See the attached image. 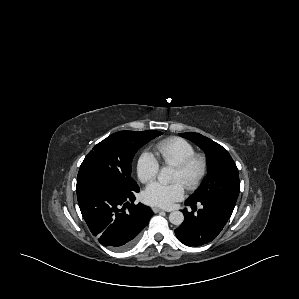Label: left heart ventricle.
<instances>
[{"label": "left heart ventricle", "instance_id": "1", "mask_svg": "<svg viewBox=\"0 0 299 299\" xmlns=\"http://www.w3.org/2000/svg\"><path fill=\"white\" fill-rule=\"evenodd\" d=\"M173 181L174 182L179 181V182L184 183V176L180 172H178L176 169L174 170V173H173Z\"/></svg>", "mask_w": 299, "mask_h": 299}]
</instances>
